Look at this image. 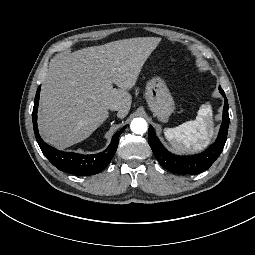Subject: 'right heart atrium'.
<instances>
[{"mask_svg":"<svg viewBox=\"0 0 255 255\" xmlns=\"http://www.w3.org/2000/svg\"><path fill=\"white\" fill-rule=\"evenodd\" d=\"M126 64L123 60L117 61L113 66H108L106 75L111 85H114L123 77L126 72Z\"/></svg>","mask_w":255,"mask_h":255,"instance_id":"obj_1","label":"right heart atrium"}]
</instances>
